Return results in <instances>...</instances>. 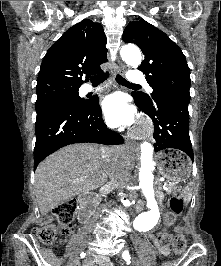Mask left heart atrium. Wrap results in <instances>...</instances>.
<instances>
[{"mask_svg": "<svg viewBox=\"0 0 221 266\" xmlns=\"http://www.w3.org/2000/svg\"><path fill=\"white\" fill-rule=\"evenodd\" d=\"M103 113L110 126H129L135 122L136 113L120 94L107 97L102 104Z\"/></svg>", "mask_w": 221, "mask_h": 266, "instance_id": "39dd6f15", "label": "left heart atrium"}]
</instances>
